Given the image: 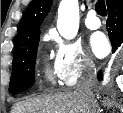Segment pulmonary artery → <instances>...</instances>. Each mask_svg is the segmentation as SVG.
I'll return each mask as SVG.
<instances>
[{"mask_svg":"<svg viewBox=\"0 0 123 113\" xmlns=\"http://www.w3.org/2000/svg\"><path fill=\"white\" fill-rule=\"evenodd\" d=\"M85 25L91 30H96L100 28L101 21L99 17L97 16L95 10H90L88 12L87 17L85 19Z\"/></svg>","mask_w":123,"mask_h":113,"instance_id":"obj_1","label":"pulmonary artery"}]
</instances>
